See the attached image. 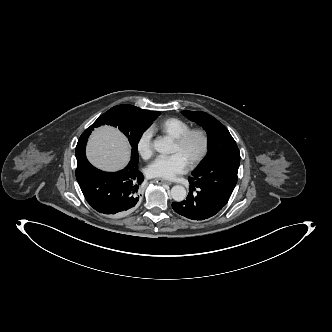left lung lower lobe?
<instances>
[{"label": "left lung lower lobe", "mask_w": 332, "mask_h": 332, "mask_svg": "<svg viewBox=\"0 0 332 332\" xmlns=\"http://www.w3.org/2000/svg\"><path fill=\"white\" fill-rule=\"evenodd\" d=\"M189 180V179H188ZM190 182V193L186 200L173 202L174 211L186 218L202 221L217 214L228 202L214 192ZM196 192L193 193V191Z\"/></svg>", "instance_id": "left-lung-lower-lobe-1"}]
</instances>
